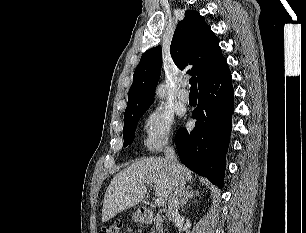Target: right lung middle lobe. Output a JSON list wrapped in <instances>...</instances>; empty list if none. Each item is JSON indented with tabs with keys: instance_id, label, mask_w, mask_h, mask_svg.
<instances>
[{
	"instance_id": "dd1d6c3e",
	"label": "right lung middle lobe",
	"mask_w": 306,
	"mask_h": 233,
	"mask_svg": "<svg viewBox=\"0 0 306 233\" xmlns=\"http://www.w3.org/2000/svg\"><path fill=\"white\" fill-rule=\"evenodd\" d=\"M148 108L149 107H146L144 109H141L133 114L124 117V128H123L124 147H126L127 145L133 142L137 123Z\"/></svg>"
}]
</instances>
